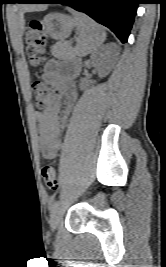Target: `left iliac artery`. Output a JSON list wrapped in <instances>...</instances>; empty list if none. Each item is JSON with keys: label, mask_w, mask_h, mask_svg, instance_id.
I'll return each instance as SVG.
<instances>
[{"label": "left iliac artery", "mask_w": 166, "mask_h": 267, "mask_svg": "<svg viewBox=\"0 0 166 267\" xmlns=\"http://www.w3.org/2000/svg\"><path fill=\"white\" fill-rule=\"evenodd\" d=\"M60 206V201H55L51 206V212L54 213Z\"/></svg>", "instance_id": "left-iliac-artery-1"}]
</instances>
